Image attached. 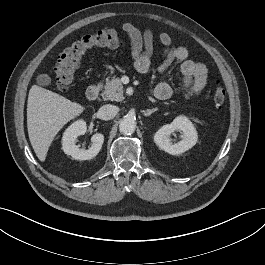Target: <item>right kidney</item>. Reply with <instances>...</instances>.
Listing matches in <instances>:
<instances>
[{
	"label": "right kidney",
	"mask_w": 265,
	"mask_h": 265,
	"mask_svg": "<svg viewBox=\"0 0 265 265\" xmlns=\"http://www.w3.org/2000/svg\"><path fill=\"white\" fill-rule=\"evenodd\" d=\"M86 131L87 126L84 120L75 121L66 129L62 138V149L65 154L72 156L76 160H89L99 153L104 142L103 134H94L91 138L92 145L87 150L81 149L76 145L77 137L84 135Z\"/></svg>",
	"instance_id": "1"
}]
</instances>
